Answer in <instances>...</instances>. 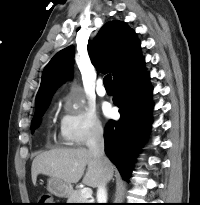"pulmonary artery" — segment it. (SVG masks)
<instances>
[{"mask_svg": "<svg viewBox=\"0 0 200 205\" xmlns=\"http://www.w3.org/2000/svg\"><path fill=\"white\" fill-rule=\"evenodd\" d=\"M96 92L101 97L106 95V90H105V88L103 86V82L101 80H99L97 82Z\"/></svg>", "mask_w": 200, "mask_h": 205, "instance_id": "1", "label": "pulmonary artery"}]
</instances>
